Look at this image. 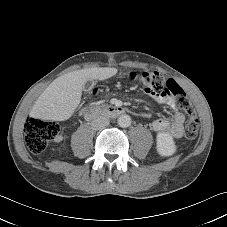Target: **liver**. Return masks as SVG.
<instances>
[{"instance_id":"1","label":"liver","mask_w":227,"mask_h":227,"mask_svg":"<svg viewBox=\"0 0 227 227\" xmlns=\"http://www.w3.org/2000/svg\"><path fill=\"white\" fill-rule=\"evenodd\" d=\"M117 72L116 68H89L56 78L38 97L30 116L52 121L69 119L80 104L82 89L88 80H106Z\"/></svg>"}]
</instances>
